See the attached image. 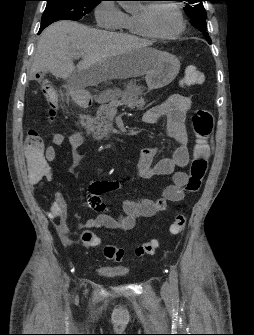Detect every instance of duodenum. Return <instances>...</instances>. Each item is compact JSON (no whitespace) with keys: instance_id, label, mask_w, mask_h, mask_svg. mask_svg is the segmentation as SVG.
Wrapping results in <instances>:
<instances>
[{"instance_id":"410a0bca","label":"duodenum","mask_w":254,"mask_h":335,"mask_svg":"<svg viewBox=\"0 0 254 335\" xmlns=\"http://www.w3.org/2000/svg\"><path fill=\"white\" fill-rule=\"evenodd\" d=\"M85 104H86V105H90L91 102H90L89 100H87V101L85 102Z\"/></svg>"}]
</instances>
